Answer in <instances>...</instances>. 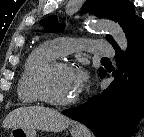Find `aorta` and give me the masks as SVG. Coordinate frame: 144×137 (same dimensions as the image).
Masks as SVG:
<instances>
[{
	"instance_id": "762f6f07",
	"label": "aorta",
	"mask_w": 144,
	"mask_h": 137,
	"mask_svg": "<svg viewBox=\"0 0 144 137\" xmlns=\"http://www.w3.org/2000/svg\"><path fill=\"white\" fill-rule=\"evenodd\" d=\"M87 27L91 31H106L108 32L112 38L115 40L117 45L122 51H126L127 49V38L121 26L118 23H115L110 20H97L90 21L87 24Z\"/></svg>"
}]
</instances>
